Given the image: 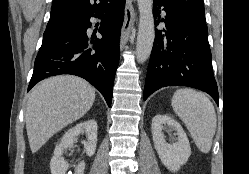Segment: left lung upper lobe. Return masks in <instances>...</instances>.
<instances>
[{"mask_svg": "<svg viewBox=\"0 0 249 174\" xmlns=\"http://www.w3.org/2000/svg\"><path fill=\"white\" fill-rule=\"evenodd\" d=\"M182 15L200 23L205 22L203 0H164Z\"/></svg>", "mask_w": 249, "mask_h": 174, "instance_id": "obj_1", "label": "left lung upper lobe"}]
</instances>
